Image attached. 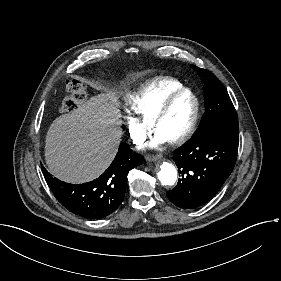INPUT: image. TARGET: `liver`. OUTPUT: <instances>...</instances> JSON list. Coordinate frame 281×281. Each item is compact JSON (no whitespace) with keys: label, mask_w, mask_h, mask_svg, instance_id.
Returning a JSON list of instances; mask_svg holds the SVG:
<instances>
[{"label":"liver","mask_w":281,"mask_h":281,"mask_svg":"<svg viewBox=\"0 0 281 281\" xmlns=\"http://www.w3.org/2000/svg\"><path fill=\"white\" fill-rule=\"evenodd\" d=\"M119 106L113 93L100 94L53 121L45 140V159L53 175L82 183L104 172L123 134Z\"/></svg>","instance_id":"liver-1"}]
</instances>
